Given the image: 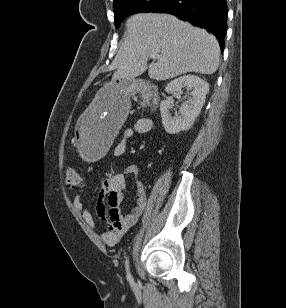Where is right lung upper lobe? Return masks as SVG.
<instances>
[{"mask_svg":"<svg viewBox=\"0 0 286 308\" xmlns=\"http://www.w3.org/2000/svg\"><path fill=\"white\" fill-rule=\"evenodd\" d=\"M118 1H120V0H114V4L117 3Z\"/></svg>","mask_w":286,"mask_h":308,"instance_id":"obj_1","label":"right lung upper lobe"}]
</instances>
